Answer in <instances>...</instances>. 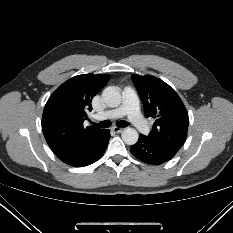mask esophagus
Returning <instances> with one entry per match:
<instances>
[{
    "label": "esophagus",
    "mask_w": 233,
    "mask_h": 233,
    "mask_svg": "<svg viewBox=\"0 0 233 233\" xmlns=\"http://www.w3.org/2000/svg\"><path fill=\"white\" fill-rule=\"evenodd\" d=\"M112 130L116 133H120L124 130V128H121V127H117V126H113L112 127Z\"/></svg>",
    "instance_id": "obj_1"
}]
</instances>
